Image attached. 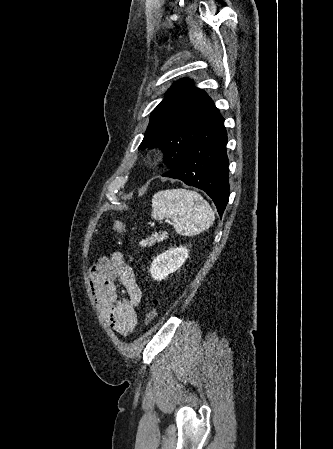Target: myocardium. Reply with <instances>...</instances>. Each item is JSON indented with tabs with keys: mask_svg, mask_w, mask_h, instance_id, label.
I'll return each instance as SVG.
<instances>
[{
	"mask_svg": "<svg viewBox=\"0 0 333 449\" xmlns=\"http://www.w3.org/2000/svg\"><path fill=\"white\" fill-rule=\"evenodd\" d=\"M146 159L148 161H155L157 159V154H155V153L148 154V155H146Z\"/></svg>",
	"mask_w": 333,
	"mask_h": 449,
	"instance_id": "obj_1",
	"label": "myocardium"
}]
</instances>
